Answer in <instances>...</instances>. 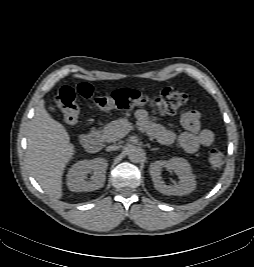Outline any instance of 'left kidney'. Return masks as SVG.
Masks as SVG:
<instances>
[{
  "instance_id": "obj_1",
  "label": "left kidney",
  "mask_w": 254,
  "mask_h": 267,
  "mask_svg": "<svg viewBox=\"0 0 254 267\" xmlns=\"http://www.w3.org/2000/svg\"><path fill=\"white\" fill-rule=\"evenodd\" d=\"M163 168L173 170L180 181L176 185H166L162 180L161 171ZM154 187L165 195L182 196L191 193L196 188L195 176L192 174L191 166L184 158L174 157L169 161H155L149 168Z\"/></svg>"
}]
</instances>
